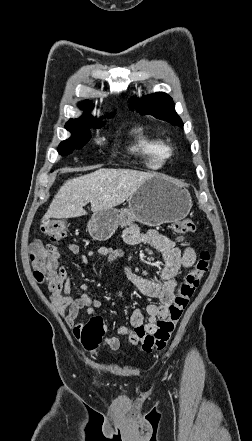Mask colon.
<instances>
[{
  "label": "colon",
  "instance_id": "obj_1",
  "mask_svg": "<svg viewBox=\"0 0 252 441\" xmlns=\"http://www.w3.org/2000/svg\"><path fill=\"white\" fill-rule=\"evenodd\" d=\"M67 228V221L62 219L49 220L43 224L42 230L50 238V241L45 245L39 243L33 245L30 252L33 274L38 282L46 281L48 283L57 279L58 269L54 254L58 251V243L65 236ZM173 230L180 236L190 235L195 233L196 225L191 219H183L173 226ZM210 264L211 256L209 252H201L194 267L180 283L177 294L168 307L167 316L156 321L155 330L148 333L143 326L135 329V334L143 351H159L166 347L184 309L208 272ZM106 329L107 326L102 317H92L84 325L80 334V340L84 348L89 351L96 349Z\"/></svg>",
  "mask_w": 252,
  "mask_h": 441
}]
</instances>
